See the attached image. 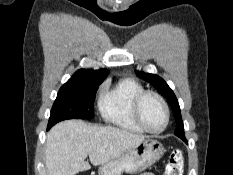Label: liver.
I'll use <instances>...</instances> for the list:
<instances>
[{
    "instance_id": "liver-1",
    "label": "liver",
    "mask_w": 233,
    "mask_h": 175,
    "mask_svg": "<svg viewBox=\"0 0 233 175\" xmlns=\"http://www.w3.org/2000/svg\"><path fill=\"white\" fill-rule=\"evenodd\" d=\"M144 136L113 126H96L82 120H66L56 124L47 134V175H75L89 170V156L94 166L120 157Z\"/></svg>"
}]
</instances>
